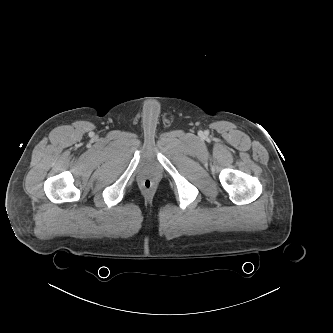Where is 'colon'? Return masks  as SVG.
<instances>
[{
    "label": "colon",
    "mask_w": 333,
    "mask_h": 333,
    "mask_svg": "<svg viewBox=\"0 0 333 333\" xmlns=\"http://www.w3.org/2000/svg\"><path fill=\"white\" fill-rule=\"evenodd\" d=\"M142 186L146 189V190H149L152 188L153 186V182L150 180V179H145L143 182H142Z\"/></svg>",
    "instance_id": "colon-1"
}]
</instances>
